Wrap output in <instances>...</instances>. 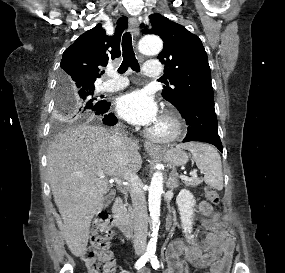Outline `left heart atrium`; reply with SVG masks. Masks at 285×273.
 Wrapping results in <instances>:
<instances>
[{
    "mask_svg": "<svg viewBox=\"0 0 285 273\" xmlns=\"http://www.w3.org/2000/svg\"><path fill=\"white\" fill-rule=\"evenodd\" d=\"M116 110L123 119L135 125L153 127L158 121V107L145 91L137 90L121 96Z\"/></svg>",
    "mask_w": 285,
    "mask_h": 273,
    "instance_id": "left-heart-atrium-1",
    "label": "left heart atrium"
}]
</instances>
